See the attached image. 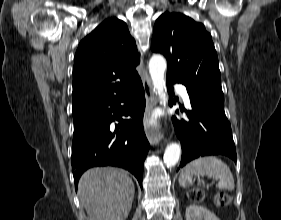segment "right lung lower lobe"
<instances>
[{"label":"right lung lower lobe","mask_w":281,"mask_h":220,"mask_svg":"<svg viewBox=\"0 0 281 220\" xmlns=\"http://www.w3.org/2000/svg\"><path fill=\"white\" fill-rule=\"evenodd\" d=\"M145 95L141 80L124 93L73 116L72 171L77 190L88 168L116 166L130 171L142 187L149 143L143 129ZM121 116H131L123 120ZM120 123H111L114 119ZM136 123L138 125H136Z\"/></svg>","instance_id":"obj_1"}]
</instances>
